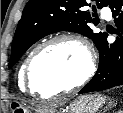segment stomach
<instances>
[{
	"mask_svg": "<svg viewBox=\"0 0 123 113\" xmlns=\"http://www.w3.org/2000/svg\"><path fill=\"white\" fill-rule=\"evenodd\" d=\"M105 103V98L100 95H83L74 99L66 108V113H96ZM12 110L29 113L30 109L22 103L13 102ZM38 113H60L55 108L41 110Z\"/></svg>",
	"mask_w": 123,
	"mask_h": 113,
	"instance_id": "stomach-1",
	"label": "stomach"
}]
</instances>
